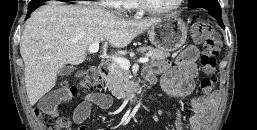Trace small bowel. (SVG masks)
Masks as SVG:
<instances>
[{
	"mask_svg": "<svg viewBox=\"0 0 257 130\" xmlns=\"http://www.w3.org/2000/svg\"><path fill=\"white\" fill-rule=\"evenodd\" d=\"M197 58L198 50L194 46H189L173 62L161 61L147 66L144 75L149 81L158 82L168 96L184 98L192 94L195 88V79L198 75ZM57 103L58 96L54 93L47 95L42 101L44 107H55ZM110 104V96L104 93H91L85 96L73 112L72 123L75 130H86L83 122L93 109H106ZM191 108L190 130H203L211 114V103L198 96L193 98ZM175 130H183L178 113L175 116Z\"/></svg>",
	"mask_w": 257,
	"mask_h": 130,
	"instance_id": "1",
	"label": "small bowel"
}]
</instances>
